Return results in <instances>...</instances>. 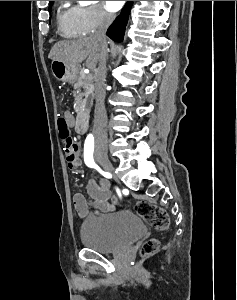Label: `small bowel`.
Segmentation results:
<instances>
[{
  "label": "small bowel",
  "mask_w": 237,
  "mask_h": 300,
  "mask_svg": "<svg viewBox=\"0 0 237 300\" xmlns=\"http://www.w3.org/2000/svg\"><path fill=\"white\" fill-rule=\"evenodd\" d=\"M64 118L69 127L74 124L73 116L66 112ZM67 164L70 170H76L82 165V152L80 145L77 144L69 151L65 150ZM87 191L92 201L89 203L82 193H75L72 201L79 217L84 218L88 215L92 207L97 213L110 212L115 208L113 196L108 180L102 178L99 181L90 179L87 184Z\"/></svg>",
  "instance_id": "c3829d8e"
}]
</instances>
